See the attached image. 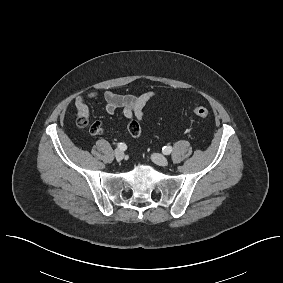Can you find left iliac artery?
<instances>
[{
	"label": "left iliac artery",
	"instance_id": "44dca946",
	"mask_svg": "<svg viewBox=\"0 0 283 283\" xmlns=\"http://www.w3.org/2000/svg\"><path fill=\"white\" fill-rule=\"evenodd\" d=\"M162 151L165 155H168L172 152V147L171 146H165L162 148Z\"/></svg>",
	"mask_w": 283,
	"mask_h": 283
}]
</instances>
